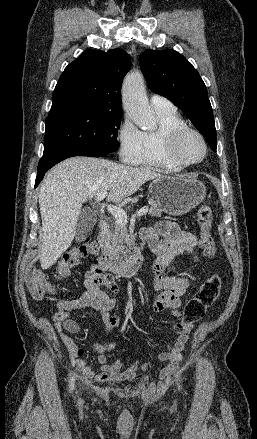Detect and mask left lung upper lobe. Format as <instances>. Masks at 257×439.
<instances>
[{
	"label": "left lung upper lobe",
	"instance_id": "obj_1",
	"mask_svg": "<svg viewBox=\"0 0 257 439\" xmlns=\"http://www.w3.org/2000/svg\"><path fill=\"white\" fill-rule=\"evenodd\" d=\"M139 64L149 88L184 112L216 151V129L206 86L198 71L178 52L148 49Z\"/></svg>",
	"mask_w": 257,
	"mask_h": 439
}]
</instances>
